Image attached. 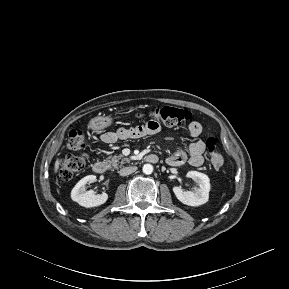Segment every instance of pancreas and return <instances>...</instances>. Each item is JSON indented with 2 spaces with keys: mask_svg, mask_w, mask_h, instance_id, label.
<instances>
[{
  "mask_svg": "<svg viewBox=\"0 0 289 289\" xmlns=\"http://www.w3.org/2000/svg\"><path fill=\"white\" fill-rule=\"evenodd\" d=\"M125 161H128V159L124 158L123 155H115L112 158L107 159L106 163L111 167L118 168L119 163L122 165Z\"/></svg>",
  "mask_w": 289,
  "mask_h": 289,
  "instance_id": "1",
  "label": "pancreas"
}]
</instances>
